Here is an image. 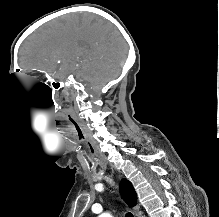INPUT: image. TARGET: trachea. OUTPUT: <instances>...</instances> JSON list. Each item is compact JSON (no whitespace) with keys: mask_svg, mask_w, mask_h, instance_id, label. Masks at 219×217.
Segmentation results:
<instances>
[{"mask_svg":"<svg viewBox=\"0 0 219 217\" xmlns=\"http://www.w3.org/2000/svg\"><path fill=\"white\" fill-rule=\"evenodd\" d=\"M126 217H134V216L132 215V213H127Z\"/></svg>","mask_w":219,"mask_h":217,"instance_id":"3493384b","label":"trachea"}]
</instances>
